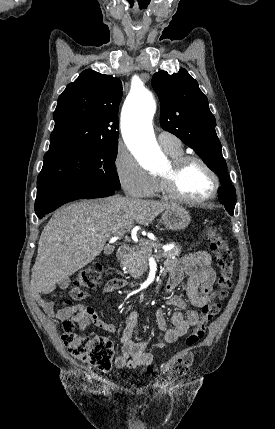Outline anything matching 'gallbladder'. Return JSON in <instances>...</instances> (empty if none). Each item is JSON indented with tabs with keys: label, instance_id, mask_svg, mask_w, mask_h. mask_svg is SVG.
Instances as JSON below:
<instances>
[{
	"label": "gallbladder",
	"instance_id": "1",
	"mask_svg": "<svg viewBox=\"0 0 275 429\" xmlns=\"http://www.w3.org/2000/svg\"><path fill=\"white\" fill-rule=\"evenodd\" d=\"M113 252V249L111 247H106L104 249V254L105 255H110Z\"/></svg>",
	"mask_w": 275,
	"mask_h": 429
}]
</instances>
